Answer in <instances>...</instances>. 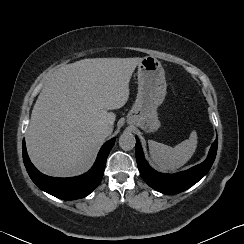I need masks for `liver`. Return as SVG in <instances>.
<instances>
[{
    "mask_svg": "<svg viewBox=\"0 0 244 244\" xmlns=\"http://www.w3.org/2000/svg\"><path fill=\"white\" fill-rule=\"evenodd\" d=\"M142 58L83 59L62 66L48 79L33 107L26 146L42 173L70 177L86 172L129 98V82Z\"/></svg>",
    "mask_w": 244,
    "mask_h": 244,
    "instance_id": "1",
    "label": "liver"
}]
</instances>
